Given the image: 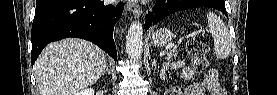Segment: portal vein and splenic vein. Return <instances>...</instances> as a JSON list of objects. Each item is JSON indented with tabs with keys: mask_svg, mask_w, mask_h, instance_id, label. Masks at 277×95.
<instances>
[{
	"mask_svg": "<svg viewBox=\"0 0 277 95\" xmlns=\"http://www.w3.org/2000/svg\"><path fill=\"white\" fill-rule=\"evenodd\" d=\"M171 48H176V45L170 44V45H168V46L166 47V50H169V49H171Z\"/></svg>",
	"mask_w": 277,
	"mask_h": 95,
	"instance_id": "portal-vein-and-splenic-vein-1",
	"label": "portal vein and splenic vein"
}]
</instances>
